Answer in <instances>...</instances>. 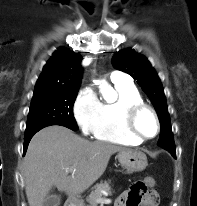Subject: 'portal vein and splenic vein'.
I'll return each mask as SVG.
<instances>
[{"label":"portal vein and splenic vein","mask_w":197,"mask_h":206,"mask_svg":"<svg viewBox=\"0 0 197 206\" xmlns=\"http://www.w3.org/2000/svg\"><path fill=\"white\" fill-rule=\"evenodd\" d=\"M66 171H67V172H68V171L71 172V171H73V169H67ZM107 202H111V200L108 199Z\"/></svg>","instance_id":"obj_1"}]
</instances>
